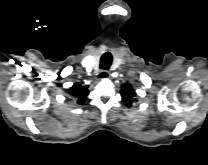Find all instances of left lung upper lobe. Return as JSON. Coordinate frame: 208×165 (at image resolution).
<instances>
[{
    "label": "left lung upper lobe",
    "instance_id": "5c2ea615",
    "mask_svg": "<svg viewBox=\"0 0 208 165\" xmlns=\"http://www.w3.org/2000/svg\"><path fill=\"white\" fill-rule=\"evenodd\" d=\"M122 90H121V95H122V101L124 102V104L128 107L132 106V104L134 103L135 99V92L134 90L128 86V85H123L122 86Z\"/></svg>",
    "mask_w": 208,
    "mask_h": 165
}]
</instances>
